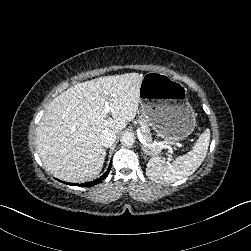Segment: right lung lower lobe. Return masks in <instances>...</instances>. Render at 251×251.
<instances>
[{
  "instance_id": "obj_1",
  "label": "right lung lower lobe",
  "mask_w": 251,
  "mask_h": 251,
  "mask_svg": "<svg viewBox=\"0 0 251 251\" xmlns=\"http://www.w3.org/2000/svg\"><path fill=\"white\" fill-rule=\"evenodd\" d=\"M110 168H111V164H110L108 170L104 173V175L101 176L100 178L94 180V181H91V182H88V183H85V184H71V183H66V184L74 185V186H80V187H90V186L96 185V184L100 183L102 180H104L107 177V175H108V173L110 171Z\"/></svg>"
}]
</instances>
